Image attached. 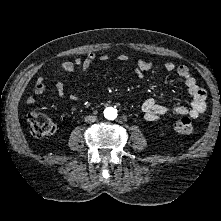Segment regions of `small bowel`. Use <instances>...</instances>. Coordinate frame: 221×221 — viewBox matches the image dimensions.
<instances>
[{
    "label": "small bowel",
    "instance_id": "1",
    "mask_svg": "<svg viewBox=\"0 0 221 221\" xmlns=\"http://www.w3.org/2000/svg\"><path fill=\"white\" fill-rule=\"evenodd\" d=\"M102 62L111 60V57L107 54H102L98 57ZM97 60V56L93 53L87 54L84 58H76L74 60H65L58 64L57 69L60 72L72 73L75 70H79L81 73H86ZM117 60L120 62L130 61L127 55L121 54L117 56ZM154 67L152 62L146 60H138L135 67V74L138 78H143L144 72L151 70ZM163 68L168 73L177 74L185 83L189 94L192 96V103L190 107L178 106L170 109V112L177 116L189 115L194 119L199 118L204 114L207 108V92L198 84L195 77L192 75L189 67L185 65H176L173 62H165ZM46 89V81L44 77H39L34 85L35 95H41ZM57 95L60 98L65 97V84L59 81L55 85ZM72 100H78L75 95H71ZM26 103L32 105L36 102L35 96H28L25 99ZM141 111L145 119L157 120L164 113L168 111V108L163 105L158 99L150 98L146 100L142 106Z\"/></svg>",
    "mask_w": 221,
    "mask_h": 221
}]
</instances>
